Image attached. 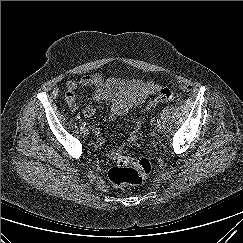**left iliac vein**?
Listing matches in <instances>:
<instances>
[{"instance_id":"left-iliac-vein-1","label":"left iliac vein","mask_w":243,"mask_h":243,"mask_svg":"<svg viewBox=\"0 0 243 243\" xmlns=\"http://www.w3.org/2000/svg\"><path fill=\"white\" fill-rule=\"evenodd\" d=\"M156 130H157L158 132H162V131L164 130L163 125L158 124V125L156 126Z\"/></svg>"}]
</instances>
